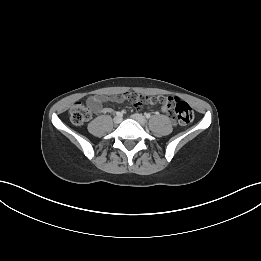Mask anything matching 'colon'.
<instances>
[{
	"instance_id": "1",
	"label": "colon",
	"mask_w": 261,
	"mask_h": 261,
	"mask_svg": "<svg viewBox=\"0 0 261 261\" xmlns=\"http://www.w3.org/2000/svg\"><path fill=\"white\" fill-rule=\"evenodd\" d=\"M163 106L169 115L177 118L181 125H188L194 119V112L191 106L178 98L164 96L160 98ZM70 119L75 125H82L91 118V110L81 102L75 103L70 109Z\"/></svg>"
}]
</instances>
